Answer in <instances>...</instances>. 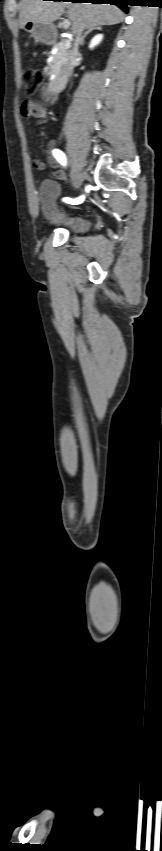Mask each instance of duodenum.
I'll list each match as a JSON object with an SVG mask.
<instances>
[{
    "label": "duodenum",
    "instance_id": "obj_1",
    "mask_svg": "<svg viewBox=\"0 0 162 851\" xmlns=\"http://www.w3.org/2000/svg\"><path fill=\"white\" fill-rule=\"evenodd\" d=\"M69 79V76L65 74L62 76V78L57 77L53 80H50L48 86L52 89L51 95H56L58 92H60L62 87L67 84Z\"/></svg>",
    "mask_w": 162,
    "mask_h": 851
}]
</instances>
